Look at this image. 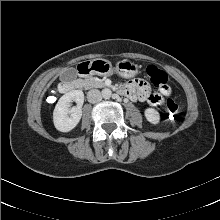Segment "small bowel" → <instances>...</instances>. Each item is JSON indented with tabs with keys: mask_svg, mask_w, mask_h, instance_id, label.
Here are the masks:
<instances>
[{
	"mask_svg": "<svg viewBox=\"0 0 220 220\" xmlns=\"http://www.w3.org/2000/svg\"><path fill=\"white\" fill-rule=\"evenodd\" d=\"M130 100L148 102L151 105H160L164 97L169 96L171 89L168 85L159 90V93H152L147 82L142 79H135L126 84L123 89Z\"/></svg>",
	"mask_w": 220,
	"mask_h": 220,
	"instance_id": "obj_1",
	"label": "small bowel"
}]
</instances>
